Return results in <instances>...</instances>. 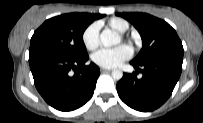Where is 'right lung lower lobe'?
Wrapping results in <instances>:
<instances>
[{
    "instance_id": "98d812e1",
    "label": "right lung lower lobe",
    "mask_w": 203,
    "mask_h": 123,
    "mask_svg": "<svg viewBox=\"0 0 203 123\" xmlns=\"http://www.w3.org/2000/svg\"><path fill=\"white\" fill-rule=\"evenodd\" d=\"M88 55L70 58L34 50L29 64L35 86L44 100L60 111H72L90 100L100 75L94 63L85 65Z\"/></svg>"
}]
</instances>
